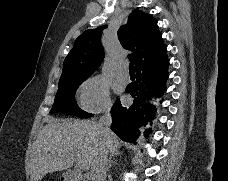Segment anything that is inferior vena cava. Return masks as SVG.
Returning a JSON list of instances; mask_svg holds the SVG:
<instances>
[{
	"label": "inferior vena cava",
	"instance_id": "1",
	"mask_svg": "<svg viewBox=\"0 0 228 181\" xmlns=\"http://www.w3.org/2000/svg\"><path fill=\"white\" fill-rule=\"evenodd\" d=\"M110 105H106L103 109L102 117H100L98 123H95L93 129L96 135H107L109 133L112 123V117L110 115ZM110 151L107 147H101L99 151H96L92 157L91 163V179L92 181H106L108 155Z\"/></svg>",
	"mask_w": 228,
	"mask_h": 181
}]
</instances>
